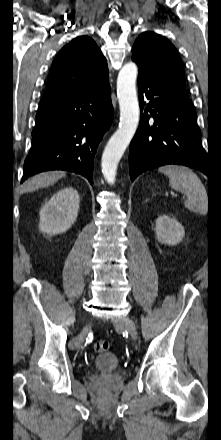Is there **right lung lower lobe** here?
Instances as JSON below:
<instances>
[{
  "instance_id": "1",
  "label": "right lung lower lobe",
  "mask_w": 221,
  "mask_h": 440,
  "mask_svg": "<svg viewBox=\"0 0 221 440\" xmlns=\"http://www.w3.org/2000/svg\"><path fill=\"white\" fill-rule=\"evenodd\" d=\"M112 119L109 83L97 91L43 98L21 182L43 171L67 170L93 185L94 156Z\"/></svg>"
}]
</instances>
